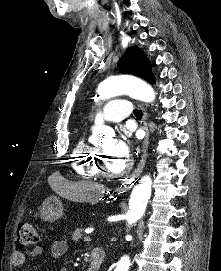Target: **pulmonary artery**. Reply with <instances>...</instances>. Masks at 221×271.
Wrapping results in <instances>:
<instances>
[{
	"label": "pulmonary artery",
	"instance_id": "1",
	"mask_svg": "<svg viewBox=\"0 0 221 271\" xmlns=\"http://www.w3.org/2000/svg\"><path fill=\"white\" fill-rule=\"evenodd\" d=\"M124 98H115V102H107V107H102V112H107L104 117V122H125L126 118L129 117V107H122L124 103ZM127 106V103H124ZM105 116V113H102ZM92 127H102V122H92L90 124Z\"/></svg>",
	"mask_w": 221,
	"mask_h": 271
}]
</instances>
